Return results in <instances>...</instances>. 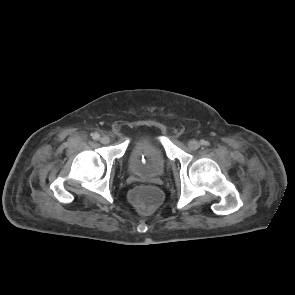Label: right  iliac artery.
<instances>
[{"label":"right iliac artery","mask_w":295,"mask_h":295,"mask_svg":"<svg viewBox=\"0 0 295 295\" xmlns=\"http://www.w3.org/2000/svg\"><path fill=\"white\" fill-rule=\"evenodd\" d=\"M99 137H100V135H99L98 133H93V134H92V138H93L94 140H98Z\"/></svg>","instance_id":"82829eb1"}]
</instances>
